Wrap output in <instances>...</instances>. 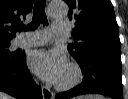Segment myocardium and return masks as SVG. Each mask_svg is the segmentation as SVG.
Returning a JSON list of instances; mask_svg holds the SVG:
<instances>
[{"label": "myocardium", "instance_id": "f54148a6", "mask_svg": "<svg viewBox=\"0 0 128 99\" xmlns=\"http://www.w3.org/2000/svg\"><path fill=\"white\" fill-rule=\"evenodd\" d=\"M67 67L70 69L72 73V77L68 82H65V83L57 82L56 83V89L60 91L70 90L74 88L75 86H77L82 80V71L76 63H69Z\"/></svg>", "mask_w": 128, "mask_h": 99}]
</instances>
